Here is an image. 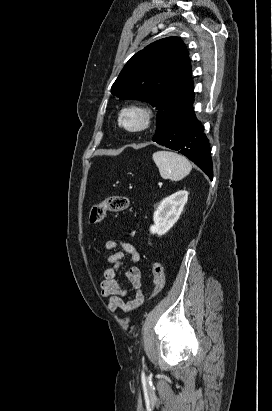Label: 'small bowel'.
Returning a JSON list of instances; mask_svg holds the SVG:
<instances>
[{"mask_svg":"<svg viewBox=\"0 0 272 411\" xmlns=\"http://www.w3.org/2000/svg\"><path fill=\"white\" fill-rule=\"evenodd\" d=\"M104 249L111 252L106 261L108 267L103 271V279L100 283L101 295L108 299L107 308L110 311L118 309L130 311L139 307L144 299L142 292V274L137 266H131L126 270L125 276L136 290L135 296L130 301H125L127 290L117 281V272L122 265L125 255H129L132 262L140 260V253L129 242L109 240Z\"/></svg>","mask_w":272,"mask_h":411,"instance_id":"1","label":"small bowel"}]
</instances>
